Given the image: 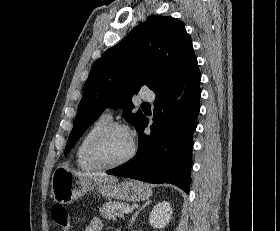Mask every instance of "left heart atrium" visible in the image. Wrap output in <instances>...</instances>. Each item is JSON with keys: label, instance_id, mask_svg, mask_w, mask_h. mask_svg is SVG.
I'll return each mask as SVG.
<instances>
[{"label": "left heart atrium", "instance_id": "39dd6f15", "mask_svg": "<svg viewBox=\"0 0 280 231\" xmlns=\"http://www.w3.org/2000/svg\"><path fill=\"white\" fill-rule=\"evenodd\" d=\"M127 136H128V138L130 139V136H129V134H127Z\"/></svg>", "mask_w": 280, "mask_h": 231}]
</instances>
